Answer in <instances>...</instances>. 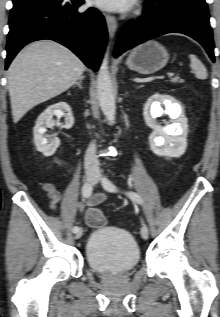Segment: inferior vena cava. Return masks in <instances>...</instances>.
<instances>
[{
    "instance_id": "602c4592",
    "label": "inferior vena cava",
    "mask_w": 220,
    "mask_h": 317,
    "mask_svg": "<svg viewBox=\"0 0 220 317\" xmlns=\"http://www.w3.org/2000/svg\"><path fill=\"white\" fill-rule=\"evenodd\" d=\"M85 169H86V171H93V172L99 171V161H98V157L96 155L95 142H92L86 151Z\"/></svg>"
}]
</instances>
